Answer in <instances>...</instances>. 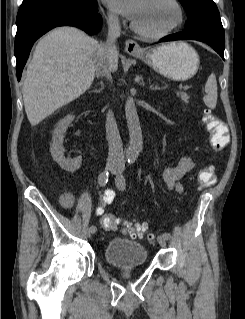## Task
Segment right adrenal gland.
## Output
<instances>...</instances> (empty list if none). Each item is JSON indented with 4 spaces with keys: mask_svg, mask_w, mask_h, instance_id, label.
<instances>
[{
    "mask_svg": "<svg viewBox=\"0 0 245 319\" xmlns=\"http://www.w3.org/2000/svg\"><path fill=\"white\" fill-rule=\"evenodd\" d=\"M103 87H104L103 83L100 82V88L98 90L97 89L93 90V92L99 93L100 91H102Z\"/></svg>",
    "mask_w": 245,
    "mask_h": 319,
    "instance_id": "obj_1",
    "label": "right adrenal gland"
}]
</instances>
